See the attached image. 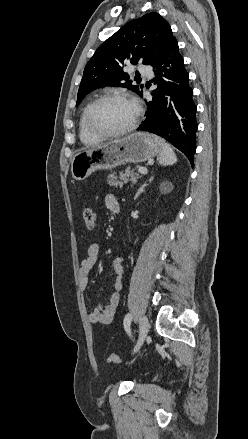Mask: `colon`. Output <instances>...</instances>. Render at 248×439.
<instances>
[{
	"label": "colon",
	"mask_w": 248,
	"mask_h": 439,
	"mask_svg": "<svg viewBox=\"0 0 248 439\" xmlns=\"http://www.w3.org/2000/svg\"><path fill=\"white\" fill-rule=\"evenodd\" d=\"M83 221L87 229H92L95 225V213L92 208L86 207L83 211ZM108 360L112 363L119 364L121 363V358L115 354L110 353L108 356Z\"/></svg>",
	"instance_id": "1"
}]
</instances>
